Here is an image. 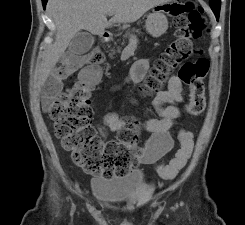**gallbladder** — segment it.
<instances>
[{"label":"gallbladder","mask_w":245,"mask_h":225,"mask_svg":"<svg viewBox=\"0 0 245 225\" xmlns=\"http://www.w3.org/2000/svg\"><path fill=\"white\" fill-rule=\"evenodd\" d=\"M94 44V37L87 31H79L69 43V51L76 55L87 53Z\"/></svg>","instance_id":"gallbladder-1"}]
</instances>
